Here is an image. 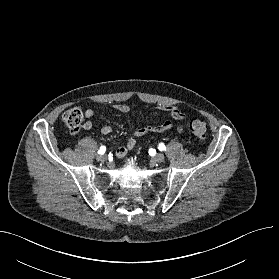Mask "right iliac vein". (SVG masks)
Listing matches in <instances>:
<instances>
[{
  "mask_svg": "<svg viewBox=\"0 0 279 279\" xmlns=\"http://www.w3.org/2000/svg\"><path fill=\"white\" fill-rule=\"evenodd\" d=\"M107 159V156L105 154H101L99 156H97V160L104 162Z\"/></svg>",
  "mask_w": 279,
  "mask_h": 279,
  "instance_id": "obj_1",
  "label": "right iliac vein"
}]
</instances>
